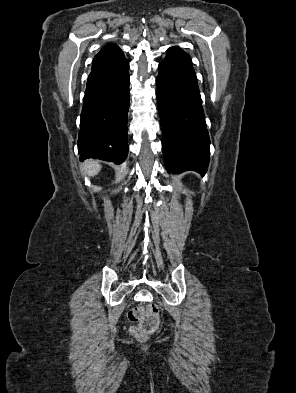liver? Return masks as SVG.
Returning a JSON list of instances; mask_svg holds the SVG:
<instances>
[{
    "instance_id": "liver-1",
    "label": "liver",
    "mask_w": 296,
    "mask_h": 393,
    "mask_svg": "<svg viewBox=\"0 0 296 393\" xmlns=\"http://www.w3.org/2000/svg\"><path fill=\"white\" fill-rule=\"evenodd\" d=\"M83 168L89 176H94L101 170L100 164L92 160L86 161Z\"/></svg>"
}]
</instances>
